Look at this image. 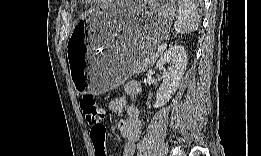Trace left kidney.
I'll list each match as a JSON object with an SVG mask.
<instances>
[{
    "instance_id": "left-kidney-1",
    "label": "left kidney",
    "mask_w": 261,
    "mask_h": 156,
    "mask_svg": "<svg viewBox=\"0 0 261 156\" xmlns=\"http://www.w3.org/2000/svg\"><path fill=\"white\" fill-rule=\"evenodd\" d=\"M168 63L171 67L165 72L163 82L157 91L156 101L153 104L154 108L165 105L177 91L187 67L185 48L181 45L171 47L157 61L156 68L163 70L164 66ZM146 105L148 108H151L150 102H147Z\"/></svg>"
}]
</instances>
